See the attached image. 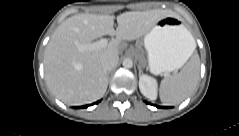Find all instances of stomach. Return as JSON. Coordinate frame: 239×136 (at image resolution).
Listing matches in <instances>:
<instances>
[{
    "mask_svg": "<svg viewBox=\"0 0 239 136\" xmlns=\"http://www.w3.org/2000/svg\"><path fill=\"white\" fill-rule=\"evenodd\" d=\"M192 36L178 16L160 19L144 37L148 64L154 74L183 66L192 53Z\"/></svg>",
    "mask_w": 239,
    "mask_h": 136,
    "instance_id": "stomach-1",
    "label": "stomach"
}]
</instances>
